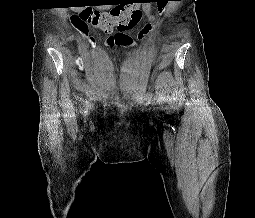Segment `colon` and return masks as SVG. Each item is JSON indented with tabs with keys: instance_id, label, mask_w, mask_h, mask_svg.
Segmentation results:
<instances>
[{
	"instance_id": "1",
	"label": "colon",
	"mask_w": 255,
	"mask_h": 218,
	"mask_svg": "<svg viewBox=\"0 0 255 218\" xmlns=\"http://www.w3.org/2000/svg\"><path fill=\"white\" fill-rule=\"evenodd\" d=\"M142 19V10L135 4L129 2L113 8L110 11L102 12L94 9H84L75 17V23L80 27L86 25L99 28L105 32L116 30L117 33L107 40L111 47L132 48L136 40L127 34L135 28ZM151 30V24L147 23L139 30L136 39L143 40Z\"/></svg>"
}]
</instances>
